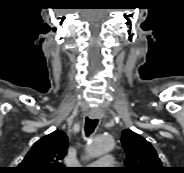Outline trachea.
I'll return each mask as SVG.
<instances>
[{"mask_svg":"<svg viewBox=\"0 0 184 173\" xmlns=\"http://www.w3.org/2000/svg\"><path fill=\"white\" fill-rule=\"evenodd\" d=\"M97 124H98L97 119H89L88 117L86 118V120H85V133L87 136H89L91 133H93Z\"/></svg>","mask_w":184,"mask_h":173,"instance_id":"1","label":"trachea"}]
</instances>
